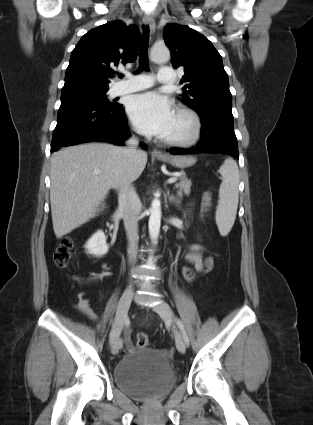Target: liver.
Returning <instances> with one entry per match:
<instances>
[{
  "label": "liver",
  "instance_id": "liver-1",
  "mask_svg": "<svg viewBox=\"0 0 313 425\" xmlns=\"http://www.w3.org/2000/svg\"><path fill=\"white\" fill-rule=\"evenodd\" d=\"M120 147L88 143L61 149L51 157L50 202L53 230L62 238L96 215L109 190L139 178L147 153L128 158ZM94 170H100L98 174Z\"/></svg>",
  "mask_w": 313,
  "mask_h": 425
}]
</instances>
